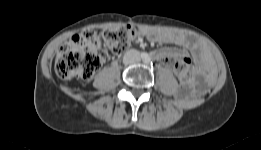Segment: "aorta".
<instances>
[{
	"instance_id": "762f6f07",
	"label": "aorta",
	"mask_w": 261,
	"mask_h": 150,
	"mask_svg": "<svg viewBox=\"0 0 261 150\" xmlns=\"http://www.w3.org/2000/svg\"><path fill=\"white\" fill-rule=\"evenodd\" d=\"M144 61H145V62H149V61H150V58H149V57H145V58H144Z\"/></svg>"
}]
</instances>
